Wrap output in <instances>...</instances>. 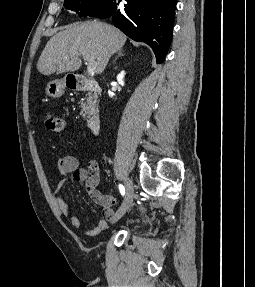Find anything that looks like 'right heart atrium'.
<instances>
[{
	"mask_svg": "<svg viewBox=\"0 0 255 287\" xmlns=\"http://www.w3.org/2000/svg\"><path fill=\"white\" fill-rule=\"evenodd\" d=\"M94 33H102V32H94Z\"/></svg>",
	"mask_w": 255,
	"mask_h": 287,
	"instance_id": "1",
	"label": "right heart atrium"
}]
</instances>
